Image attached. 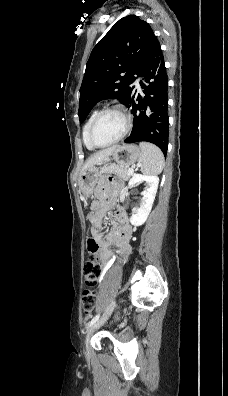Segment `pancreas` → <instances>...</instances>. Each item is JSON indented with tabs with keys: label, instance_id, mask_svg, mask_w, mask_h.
Instances as JSON below:
<instances>
[{
	"label": "pancreas",
	"instance_id": "obj_1",
	"mask_svg": "<svg viewBox=\"0 0 228 396\" xmlns=\"http://www.w3.org/2000/svg\"><path fill=\"white\" fill-rule=\"evenodd\" d=\"M104 173H112L120 176L123 180L127 181L129 177L133 174L129 173V168L116 165V164H111L110 166L106 167L103 170Z\"/></svg>",
	"mask_w": 228,
	"mask_h": 396
}]
</instances>
